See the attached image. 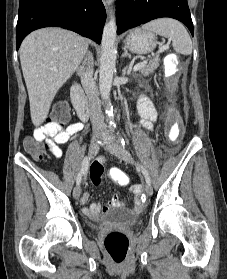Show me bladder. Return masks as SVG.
Segmentation results:
<instances>
[{
	"mask_svg": "<svg viewBox=\"0 0 227 279\" xmlns=\"http://www.w3.org/2000/svg\"><path fill=\"white\" fill-rule=\"evenodd\" d=\"M138 222V219L136 216H122L120 214H117L115 217L112 215L110 219L107 220V223H117V224H123L125 226H135Z\"/></svg>",
	"mask_w": 227,
	"mask_h": 279,
	"instance_id": "1",
	"label": "bladder"
}]
</instances>
